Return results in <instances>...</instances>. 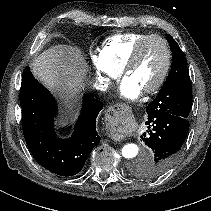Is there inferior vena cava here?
Here are the masks:
<instances>
[{
  "mask_svg": "<svg viewBox=\"0 0 211 211\" xmlns=\"http://www.w3.org/2000/svg\"><path fill=\"white\" fill-rule=\"evenodd\" d=\"M94 86H95L96 89H102V87L107 88L108 87V83L107 82H104V83H98V82H96L94 84Z\"/></svg>",
  "mask_w": 211,
  "mask_h": 211,
  "instance_id": "obj_1",
  "label": "inferior vena cava"
}]
</instances>
